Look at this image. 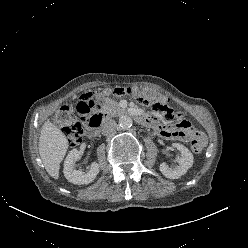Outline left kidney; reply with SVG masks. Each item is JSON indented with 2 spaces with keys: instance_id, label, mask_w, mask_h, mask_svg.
<instances>
[{
  "instance_id": "obj_1",
  "label": "left kidney",
  "mask_w": 248,
  "mask_h": 248,
  "mask_svg": "<svg viewBox=\"0 0 248 248\" xmlns=\"http://www.w3.org/2000/svg\"><path fill=\"white\" fill-rule=\"evenodd\" d=\"M172 146L180 151L182 157L179 160V166L170 168L166 163L160 164L161 173L169 179H178L184 175L193 165V155L184 145L180 143H173Z\"/></svg>"
}]
</instances>
